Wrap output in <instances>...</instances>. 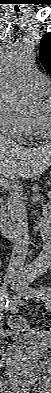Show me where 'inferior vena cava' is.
<instances>
[{
	"mask_svg": "<svg viewBox=\"0 0 51 393\" xmlns=\"http://www.w3.org/2000/svg\"><path fill=\"white\" fill-rule=\"evenodd\" d=\"M8 211L13 224L14 242L7 274H22L29 246V231L25 206L17 195L8 198Z\"/></svg>",
	"mask_w": 51,
	"mask_h": 393,
	"instance_id": "602c4592",
	"label": "inferior vena cava"
}]
</instances>
